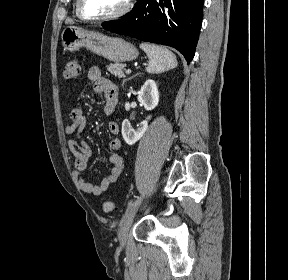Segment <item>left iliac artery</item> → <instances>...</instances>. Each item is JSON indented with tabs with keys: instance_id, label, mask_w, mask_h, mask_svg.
<instances>
[{
	"instance_id": "1",
	"label": "left iliac artery",
	"mask_w": 288,
	"mask_h": 280,
	"mask_svg": "<svg viewBox=\"0 0 288 280\" xmlns=\"http://www.w3.org/2000/svg\"><path fill=\"white\" fill-rule=\"evenodd\" d=\"M136 198H138V193H131L129 201L127 202V205L124 208L125 214H128L130 211L129 209L132 207V204L136 203Z\"/></svg>"
}]
</instances>
